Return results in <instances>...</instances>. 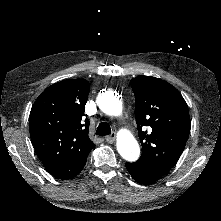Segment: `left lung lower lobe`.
I'll list each match as a JSON object with an SVG mask.
<instances>
[{"label": "left lung lower lobe", "instance_id": "1", "mask_svg": "<svg viewBox=\"0 0 221 221\" xmlns=\"http://www.w3.org/2000/svg\"><path fill=\"white\" fill-rule=\"evenodd\" d=\"M126 168L133 179L141 184H150L162 177L151 172L145 165L138 161L134 163H126Z\"/></svg>", "mask_w": 221, "mask_h": 221}]
</instances>
